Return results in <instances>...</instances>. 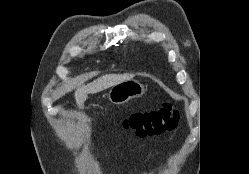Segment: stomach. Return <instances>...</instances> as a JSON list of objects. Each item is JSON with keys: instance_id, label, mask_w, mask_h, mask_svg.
I'll use <instances>...</instances> for the list:
<instances>
[{"instance_id": "stomach-1", "label": "stomach", "mask_w": 249, "mask_h": 174, "mask_svg": "<svg viewBox=\"0 0 249 174\" xmlns=\"http://www.w3.org/2000/svg\"><path fill=\"white\" fill-rule=\"evenodd\" d=\"M145 93V87L137 80H127L112 86L108 98L111 103L121 105Z\"/></svg>"}]
</instances>
